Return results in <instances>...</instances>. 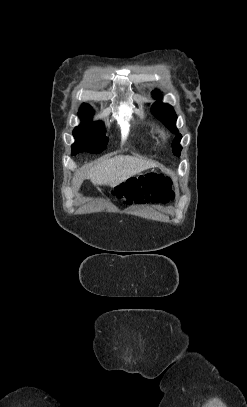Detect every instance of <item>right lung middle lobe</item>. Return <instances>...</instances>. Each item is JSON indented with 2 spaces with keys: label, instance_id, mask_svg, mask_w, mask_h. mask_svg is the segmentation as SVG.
<instances>
[{
  "label": "right lung middle lobe",
  "instance_id": "right-lung-middle-lobe-1",
  "mask_svg": "<svg viewBox=\"0 0 247 407\" xmlns=\"http://www.w3.org/2000/svg\"><path fill=\"white\" fill-rule=\"evenodd\" d=\"M93 110L91 107H82L79 117L82 123L73 131L75 143L72 145V155L79 152L100 153L108 142L105 128L101 121L92 122Z\"/></svg>",
  "mask_w": 247,
  "mask_h": 407
}]
</instances>
